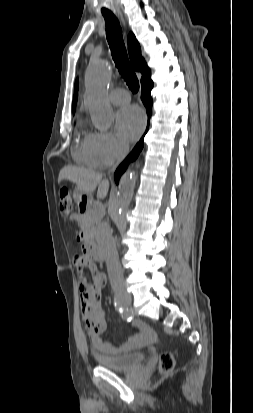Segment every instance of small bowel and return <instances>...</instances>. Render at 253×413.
<instances>
[{
  "mask_svg": "<svg viewBox=\"0 0 253 413\" xmlns=\"http://www.w3.org/2000/svg\"><path fill=\"white\" fill-rule=\"evenodd\" d=\"M72 221L80 220V215L74 214L70 217ZM77 268L86 267L90 270L92 281L82 280L79 289L81 297L80 312L86 326L93 349L102 355H117L122 352L141 348L156 340L154 330L142 321H136L135 326L138 333L132 336L122 345H114L104 342L100 335L106 328L105 311L101 307V289L106 284V275L97 269L94 261L83 254L77 253L73 258Z\"/></svg>",
  "mask_w": 253,
  "mask_h": 413,
  "instance_id": "1",
  "label": "small bowel"
}]
</instances>
